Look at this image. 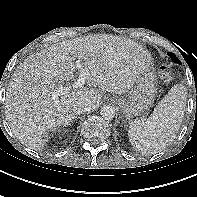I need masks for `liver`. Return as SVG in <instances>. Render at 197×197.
<instances>
[{
  "instance_id": "1",
  "label": "liver",
  "mask_w": 197,
  "mask_h": 197,
  "mask_svg": "<svg viewBox=\"0 0 197 197\" xmlns=\"http://www.w3.org/2000/svg\"><path fill=\"white\" fill-rule=\"evenodd\" d=\"M75 60L89 73L87 86L53 99L56 83L74 79ZM151 60V54L133 40L108 34L53 44L29 56L14 72L6 92V120L22 144L41 151L48 131L66 127L76 118L79 100L89 99L94 108L103 92H127Z\"/></svg>"
}]
</instances>
